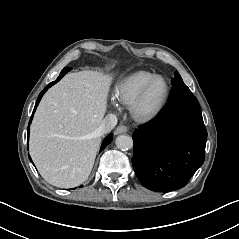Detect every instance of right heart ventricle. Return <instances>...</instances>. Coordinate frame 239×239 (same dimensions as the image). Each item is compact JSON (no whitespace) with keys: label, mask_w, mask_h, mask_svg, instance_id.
Instances as JSON below:
<instances>
[{"label":"right heart ventricle","mask_w":239,"mask_h":239,"mask_svg":"<svg viewBox=\"0 0 239 239\" xmlns=\"http://www.w3.org/2000/svg\"><path fill=\"white\" fill-rule=\"evenodd\" d=\"M156 73L149 70H137L122 80L114 88V96L123 105H131L142 88L153 78Z\"/></svg>","instance_id":"right-heart-ventricle-1"}]
</instances>
